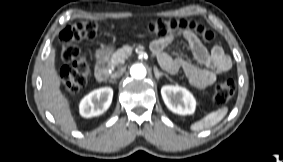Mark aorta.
<instances>
[{
  "instance_id": "762f6f07",
  "label": "aorta",
  "mask_w": 283,
  "mask_h": 162,
  "mask_svg": "<svg viewBox=\"0 0 283 162\" xmlns=\"http://www.w3.org/2000/svg\"><path fill=\"white\" fill-rule=\"evenodd\" d=\"M130 74L135 79H143L146 76V69L141 64H135L130 68Z\"/></svg>"
}]
</instances>
